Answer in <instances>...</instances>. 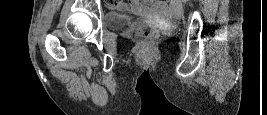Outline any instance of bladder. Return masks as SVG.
Here are the masks:
<instances>
[{"instance_id": "31cf9c89", "label": "bladder", "mask_w": 267, "mask_h": 115, "mask_svg": "<svg viewBox=\"0 0 267 115\" xmlns=\"http://www.w3.org/2000/svg\"><path fill=\"white\" fill-rule=\"evenodd\" d=\"M139 22L136 16L111 13L106 16V24L112 29H120L135 25Z\"/></svg>"}]
</instances>
